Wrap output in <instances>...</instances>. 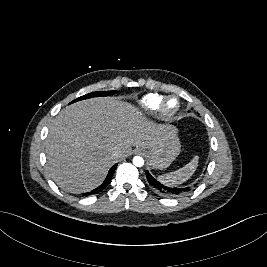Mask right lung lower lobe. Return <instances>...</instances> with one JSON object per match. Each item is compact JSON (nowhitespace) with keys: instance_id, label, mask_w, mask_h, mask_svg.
<instances>
[{"instance_id":"right-lung-lower-lobe-1","label":"right lung lower lobe","mask_w":267,"mask_h":267,"mask_svg":"<svg viewBox=\"0 0 267 267\" xmlns=\"http://www.w3.org/2000/svg\"><path fill=\"white\" fill-rule=\"evenodd\" d=\"M116 167H117V164H115L113 167H111V169L109 170L105 181L99 187H97L96 189L92 190L91 192L85 193L84 195L88 196V195H91V194H97L100 191H102L109 184L110 180L112 179V176H113V174L115 172Z\"/></svg>"}]
</instances>
